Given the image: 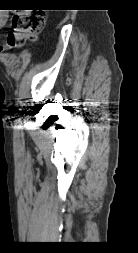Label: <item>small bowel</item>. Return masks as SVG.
I'll list each match as a JSON object with an SVG mask.
<instances>
[{
	"instance_id": "c3829d8e",
	"label": "small bowel",
	"mask_w": 138,
	"mask_h": 253,
	"mask_svg": "<svg viewBox=\"0 0 138 253\" xmlns=\"http://www.w3.org/2000/svg\"><path fill=\"white\" fill-rule=\"evenodd\" d=\"M5 15H0V29H2V27L5 25ZM6 49L5 45H0V52H3Z\"/></svg>"
}]
</instances>
